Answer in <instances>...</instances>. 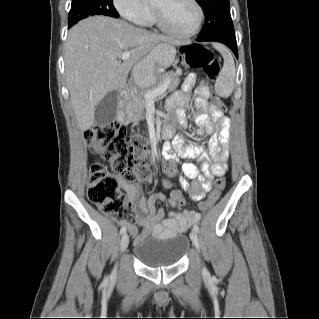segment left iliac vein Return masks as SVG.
Here are the masks:
<instances>
[{
  "instance_id": "left-iliac-vein-1",
  "label": "left iliac vein",
  "mask_w": 319,
  "mask_h": 319,
  "mask_svg": "<svg viewBox=\"0 0 319 319\" xmlns=\"http://www.w3.org/2000/svg\"><path fill=\"white\" fill-rule=\"evenodd\" d=\"M190 238H191V241L193 242V244L198 248V246H199V241H198L197 232L192 231V232L190 233ZM203 271L206 272V268H205V267H203Z\"/></svg>"
}]
</instances>
